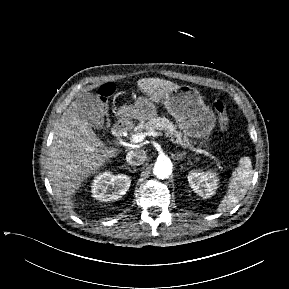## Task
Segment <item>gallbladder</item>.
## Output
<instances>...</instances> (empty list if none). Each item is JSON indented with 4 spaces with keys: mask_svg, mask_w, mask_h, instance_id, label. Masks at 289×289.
Segmentation results:
<instances>
[{
    "mask_svg": "<svg viewBox=\"0 0 289 289\" xmlns=\"http://www.w3.org/2000/svg\"><path fill=\"white\" fill-rule=\"evenodd\" d=\"M80 114L85 118L90 127L102 129L104 126L103 108L91 93H85L77 100Z\"/></svg>",
    "mask_w": 289,
    "mask_h": 289,
    "instance_id": "bac80fb5",
    "label": "gallbladder"
}]
</instances>
